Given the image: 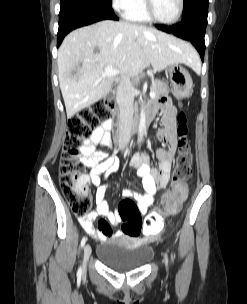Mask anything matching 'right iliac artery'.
Returning <instances> with one entry per match:
<instances>
[{
	"mask_svg": "<svg viewBox=\"0 0 247 304\" xmlns=\"http://www.w3.org/2000/svg\"><path fill=\"white\" fill-rule=\"evenodd\" d=\"M86 240H87V238H86V236H84L83 238H82V240H81V247H83L84 245H85V243H86ZM81 268H79V270H78V275L79 276H81Z\"/></svg>",
	"mask_w": 247,
	"mask_h": 304,
	"instance_id": "1",
	"label": "right iliac artery"
}]
</instances>
